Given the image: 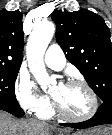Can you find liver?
<instances>
[{
  "label": "liver",
  "instance_id": "6515ba94",
  "mask_svg": "<svg viewBox=\"0 0 112 135\" xmlns=\"http://www.w3.org/2000/svg\"><path fill=\"white\" fill-rule=\"evenodd\" d=\"M0 135H50V127L34 120H16L9 113L0 111Z\"/></svg>",
  "mask_w": 112,
  "mask_h": 135
}]
</instances>
